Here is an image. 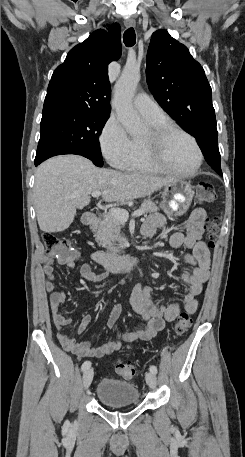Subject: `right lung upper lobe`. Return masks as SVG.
<instances>
[{
    "label": "right lung upper lobe",
    "mask_w": 245,
    "mask_h": 457,
    "mask_svg": "<svg viewBox=\"0 0 245 457\" xmlns=\"http://www.w3.org/2000/svg\"><path fill=\"white\" fill-rule=\"evenodd\" d=\"M97 30L71 49L51 78L43 113L83 109L110 113L108 65L121 55L120 26Z\"/></svg>",
    "instance_id": "obj_1"
}]
</instances>
